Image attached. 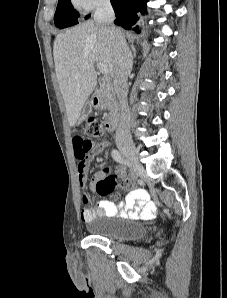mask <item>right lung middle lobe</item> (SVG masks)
Here are the masks:
<instances>
[{"instance_id": "1", "label": "right lung middle lobe", "mask_w": 227, "mask_h": 298, "mask_svg": "<svg viewBox=\"0 0 227 298\" xmlns=\"http://www.w3.org/2000/svg\"><path fill=\"white\" fill-rule=\"evenodd\" d=\"M79 13L73 8L70 0H58L54 16L55 25L59 28H66L78 23ZM88 16L85 17L87 19Z\"/></svg>"}]
</instances>
